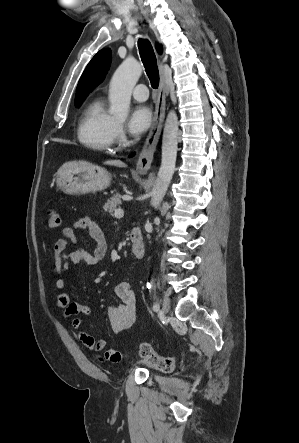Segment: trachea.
Segmentation results:
<instances>
[{
	"mask_svg": "<svg viewBox=\"0 0 299 443\" xmlns=\"http://www.w3.org/2000/svg\"><path fill=\"white\" fill-rule=\"evenodd\" d=\"M138 48L151 86L152 88L157 89L159 85V71L153 47L149 40L139 39Z\"/></svg>",
	"mask_w": 299,
	"mask_h": 443,
	"instance_id": "trachea-1",
	"label": "trachea"
}]
</instances>
